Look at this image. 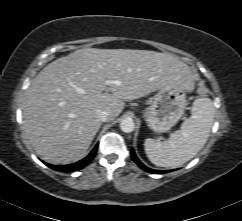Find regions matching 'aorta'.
I'll return each mask as SVG.
<instances>
[{"mask_svg": "<svg viewBox=\"0 0 242 221\" xmlns=\"http://www.w3.org/2000/svg\"><path fill=\"white\" fill-rule=\"evenodd\" d=\"M120 129L125 133H130L135 129V123L131 118H125L120 122Z\"/></svg>", "mask_w": 242, "mask_h": 221, "instance_id": "1", "label": "aorta"}]
</instances>
